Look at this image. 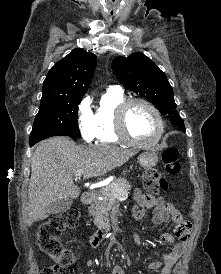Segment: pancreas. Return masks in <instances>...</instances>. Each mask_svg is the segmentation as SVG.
Here are the masks:
<instances>
[{
	"instance_id": "pancreas-1",
	"label": "pancreas",
	"mask_w": 221,
	"mask_h": 274,
	"mask_svg": "<svg viewBox=\"0 0 221 274\" xmlns=\"http://www.w3.org/2000/svg\"><path fill=\"white\" fill-rule=\"evenodd\" d=\"M118 188L120 193L127 195L131 185L125 178H118L107 186L92 193L93 204L89 207V214L94 217V224L97 227H107L109 225L110 210L115 203L116 192ZM101 197L102 200H99Z\"/></svg>"
}]
</instances>
